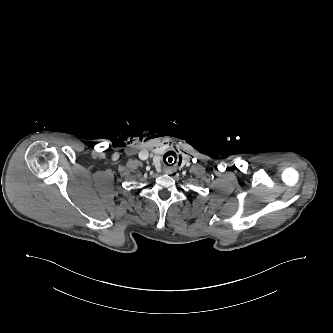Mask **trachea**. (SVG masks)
Returning a JSON list of instances; mask_svg holds the SVG:
<instances>
[{
	"label": "trachea",
	"mask_w": 333,
	"mask_h": 333,
	"mask_svg": "<svg viewBox=\"0 0 333 333\" xmlns=\"http://www.w3.org/2000/svg\"><path fill=\"white\" fill-rule=\"evenodd\" d=\"M173 152H167L165 155H164V158H163V161L165 163V165L167 166H172L174 165L175 161H176V158L175 156L172 154Z\"/></svg>",
	"instance_id": "1"
}]
</instances>
